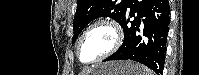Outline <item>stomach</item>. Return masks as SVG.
<instances>
[{
    "mask_svg": "<svg viewBox=\"0 0 199 75\" xmlns=\"http://www.w3.org/2000/svg\"><path fill=\"white\" fill-rule=\"evenodd\" d=\"M143 66L131 61H113L96 65L88 75H142Z\"/></svg>",
    "mask_w": 199,
    "mask_h": 75,
    "instance_id": "0dacf381",
    "label": "stomach"
}]
</instances>
